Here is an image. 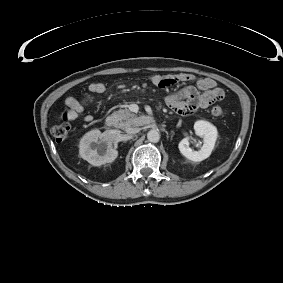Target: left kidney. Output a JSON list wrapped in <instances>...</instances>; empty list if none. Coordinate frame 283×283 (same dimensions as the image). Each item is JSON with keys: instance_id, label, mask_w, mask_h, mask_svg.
Returning <instances> with one entry per match:
<instances>
[{"instance_id": "5707ae66", "label": "left kidney", "mask_w": 283, "mask_h": 283, "mask_svg": "<svg viewBox=\"0 0 283 283\" xmlns=\"http://www.w3.org/2000/svg\"><path fill=\"white\" fill-rule=\"evenodd\" d=\"M195 134L203 138V146L199 151H194L189 147V139L184 138L178 144V148L183 156L195 162L205 160L211 155L217 140V129L208 121L199 120L194 124Z\"/></svg>"}]
</instances>
